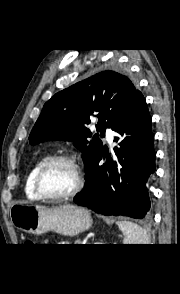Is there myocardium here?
<instances>
[{
    "label": "myocardium",
    "mask_w": 180,
    "mask_h": 294,
    "mask_svg": "<svg viewBox=\"0 0 180 294\" xmlns=\"http://www.w3.org/2000/svg\"><path fill=\"white\" fill-rule=\"evenodd\" d=\"M58 162H65L73 167L76 174L77 182L75 187L67 193L59 194V195H49V194H46L42 189V184H41L42 178L45 172L47 171V169ZM84 183H85L84 175L79 164L76 162L75 158L65 154L51 156L48 159H46L42 163V165L38 168L34 177V189L37 196L47 201H61V200H66V199L75 197L82 191L84 187Z\"/></svg>",
    "instance_id": "obj_1"
}]
</instances>
